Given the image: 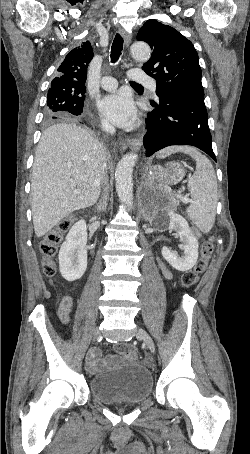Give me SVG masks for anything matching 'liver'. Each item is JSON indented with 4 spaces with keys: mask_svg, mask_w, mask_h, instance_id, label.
Masks as SVG:
<instances>
[{
    "mask_svg": "<svg viewBox=\"0 0 250 454\" xmlns=\"http://www.w3.org/2000/svg\"><path fill=\"white\" fill-rule=\"evenodd\" d=\"M105 161L102 144L75 124H55L43 132L31 175V209L37 237L70 213L96 203Z\"/></svg>",
    "mask_w": 250,
    "mask_h": 454,
    "instance_id": "6515ba94",
    "label": "liver"
}]
</instances>
